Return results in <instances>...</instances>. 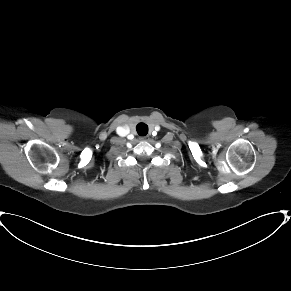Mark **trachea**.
I'll list each match as a JSON object with an SVG mask.
<instances>
[{
	"mask_svg": "<svg viewBox=\"0 0 291 291\" xmlns=\"http://www.w3.org/2000/svg\"><path fill=\"white\" fill-rule=\"evenodd\" d=\"M139 135L144 136L148 132V126L145 123H139L136 127Z\"/></svg>",
	"mask_w": 291,
	"mask_h": 291,
	"instance_id": "obj_1",
	"label": "trachea"
}]
</instances>
